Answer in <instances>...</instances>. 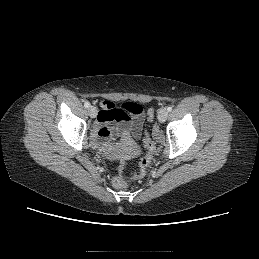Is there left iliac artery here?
Masks as SVG:
<instances>
[{
	"label": "left iliac artery",
	"instance_id": "1",
	"mask_svg": "<svg viewBox=\"0 0 259 259\" xmlns=\"http://www.w3.org/2000/svg\"><path fill=\"white\" fill-rule=\"evenodd\" d=\"M167 111H168V112H171V111H172V107L169 106V107L167 108Z\"/></svg>",
	"mask_w": 259,
	"mask_h": 259
}]
</instances>
